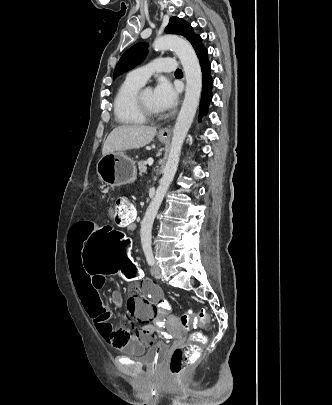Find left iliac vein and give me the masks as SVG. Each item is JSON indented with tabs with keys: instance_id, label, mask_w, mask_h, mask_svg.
I'll list each match as a JSON object with an SVG mask.
<instances>
[{
	"instance_id": "obj_1",
	"label": "left iliac vein",
	"mask_w": 332,
	"mask_h": 405,
	"mask_svg": "<svg viewBox=\"0 0 332 405\" xmlns=\"http://www.w3.org/2000/svg\"><path fill=\"white\" fill-rule=\"evenodd\" d=\"M151 274L157 279H160L162 277L161 269L157 265H153L151 267Z\"/></svg>"
}]
</instances>
